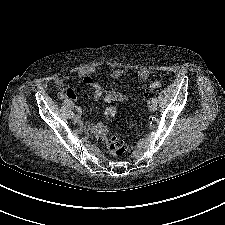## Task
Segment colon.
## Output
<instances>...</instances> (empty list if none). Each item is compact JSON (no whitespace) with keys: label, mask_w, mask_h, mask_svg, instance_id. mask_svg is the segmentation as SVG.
I'll return each mask as SVG.
<instances>
[{"label":"colon","mask_w":225,"mask_h":225,"mask_svg":"<svg viewBox=\"0 0 225 225\" xmlns=\"http://www.w3.org/2000/svg\"><path fill=\"white\" fill-rule=\"evenodd\" d=\"M162 88V85L158 82H154L149 85L148 92H158ZM117 113V109L113 106H109L105 110L106 117H113ZM93 136L99 140L105 147L107 153L111 157H120L122 156L127 147L124 141L110 132V128L105 121H101L95 125L92 130Z\"/></svg>","instance_id":"5ec220e1"}]
</instances>
